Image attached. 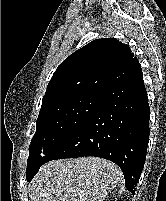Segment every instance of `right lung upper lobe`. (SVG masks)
Returning <instances> with one entry per match:
<instances>
[{
	"label": "right lung upper lobe",
	"mask_w": 166,
	"mask_h": 201,
	"mask_svg": "<svg viewBox=\"0 0 166 201\" xmlns=\"http://www.w3.org/2000/svg\"><path fill=\"white\" fill-rule=\"evenodd\" d=\"M128 45L115 38L93 40L66 58L50 80L40 114L78 96H104L137 65Z\"/></svg>",
	"instance_id": "1"
}]
</instances>
